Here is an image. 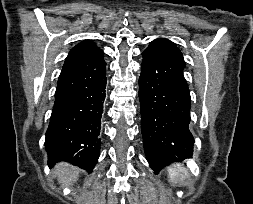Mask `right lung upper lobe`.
Masks as SVG:
<instances>
[{
	"instance_id": "right-lung-upper-lobe-1",
	"label": "right lung upper lobe",
	"mask_w": 253,
	"mask_h": 204,
	"mask_svg": "<svg viewBox=\"0 0 253 204\" xmlns=\"http://www.w3.org/2000/svg\"><path fill=\"white\" fill-rule=\"evenodd\" d=\"M99 48L92 41H83L78 45L74 46L69 52L63 68L73 64L75 61L79 60L83 56L98 50Z\"/></svg>"
}]
</instances>
